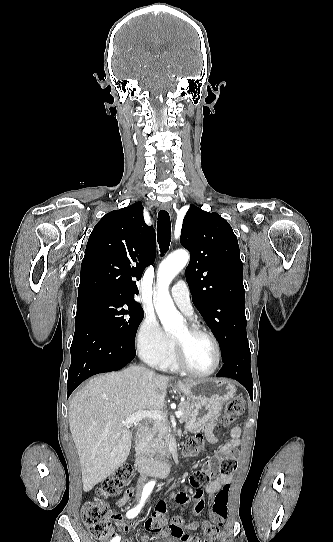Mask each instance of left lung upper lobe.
Instances as JSON below:
<instances>
[{
	"instance_id": "left-lung-upper-lobe-1",
	"label": "left lung upper lobe",
	"mask_w": 333,
	"mask_h": 542,
	"mask_svg": "<svg viewBox=\"0 0 333 542\" xmlns=\"http://www.w3.org/2000/svg\"><path fill=\"white\" fill-rule=\"evenodd\" d=\"M180 241L190 252L186 280L193 303L216 335L224 362L236 346L248 342L237 237L218 213L190 205Z\"/></svg>"
}]
</instances>
